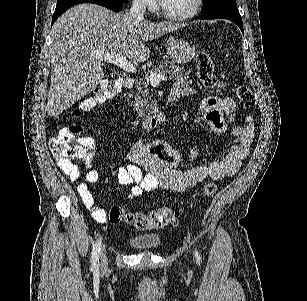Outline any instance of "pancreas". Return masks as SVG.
<instances>
[{"label":"pancreas","mask_w":307,"mask_h":301,"mask_svg":"<svg viewBox=\"0 0 307 301\" xmlns=\"http://www.w3.org/2000/svg\"><path fill=\"white\" fill-rule=\"evenodd\" d=\"M150 72H157V74H169V78H183L185 76L184 68L177 66L174 62H169V60H164V62H159L156 66L151 68ZM148 78V76H147ZM147 78H142V80H136L134 90L135 92H129V98H133L131 104L135 108L138 116H147L149 112H156L157 102L152 100L149 88V80ZM152 100V102H150Z\"/></svg>","instance_id":"cf45deb5"}]
</instances>
